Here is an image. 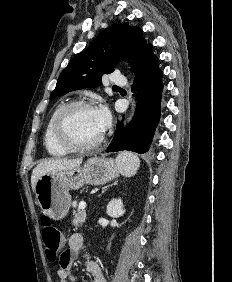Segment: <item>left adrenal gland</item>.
I'll list each match as a JSON object with an SVG mask.
<instances>
[{
    "mask_svg": "<svg viewBox=\"0 0 232 282\" xmlns=\"http://www.w3.org/2000/svg\"><path fill=\"white\" fill-rule=\"evenodd\" d=\"M118 181L114 182L113 184L105 187L102 192L106 191L110 186L117 185Z\"/></svg>",
    "mask_w": 232,
    "mask_h": 282,
    "instance_id": "a2214340",
    "label": "left adrenal gland"
}]
</instances>
